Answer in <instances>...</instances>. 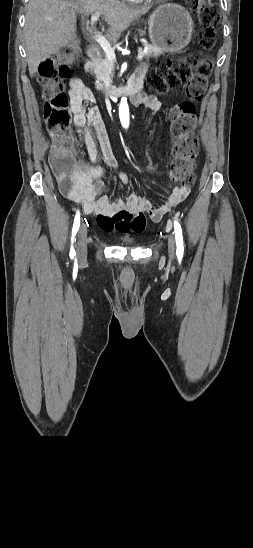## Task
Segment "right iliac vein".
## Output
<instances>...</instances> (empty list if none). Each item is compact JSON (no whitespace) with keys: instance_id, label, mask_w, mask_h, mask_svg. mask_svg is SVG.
I'll return each mask as SVG.
<instances>
[{"instance_id":"right-iliac-vein-1","label":"right iliac vein","mask_w":253,"mask_h":548,"mask_svg":"<svg viewBox=\"0 0 253 548\" xmlns=\"http://www.w3.org/2000/svg\"><path fill=\"white\" fill-rule=\"evenodd\" d=\"M76 247L79 260H84L87 256V227L85 225L80 227Z\"/></svg>"}]
</instances>
